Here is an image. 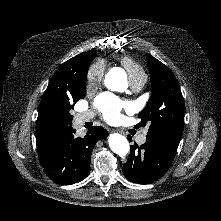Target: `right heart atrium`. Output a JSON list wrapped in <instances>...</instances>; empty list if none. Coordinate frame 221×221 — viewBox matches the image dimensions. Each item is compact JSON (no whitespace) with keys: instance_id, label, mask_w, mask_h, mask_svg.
<instances>
[{"instance_id":"1","label":"right heart atrium","mask_w":221,"mask_h":221,"mask_svg":"<svg viewBox=\"0 0 221 221\" xmlns=\"http://www.w3.org/2000/svg\"><path fill=\"white\" fill-rule=\"evenodd\" d=\"M105 65L102 61L93 62L86 73V86L88 89L94 88L103 78Z\"/></svg>"}]
</instances>
